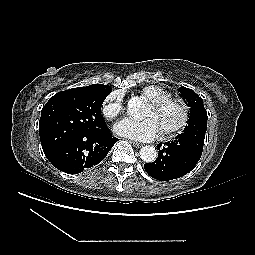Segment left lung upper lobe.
<instances>
[{
	"instance_id": "obj_1",
	"label": "left lung upper lobe",
	"mask_w": 255,
	"mask_h": 255,
	"mask_svg": "<svg viewBox=\"0 0 255 255\" xmlns=\"http://www.w3.org/2000/svg\"><path fill=\"white\" fill-rule=\"evenodd\" d=\"M179 91L191 109L189 124L185 127L184 133L180 135H187L190 131L197 128L206 129L208 117L203 105V99L200 98L192 89L180 87Z\"/></svg>"
}]
</instances>
